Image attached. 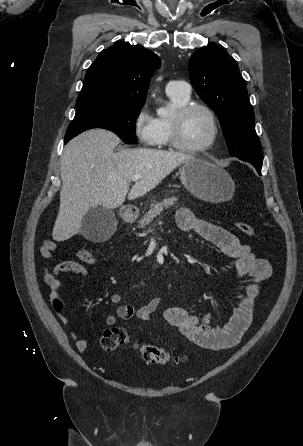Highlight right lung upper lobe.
Returning <instances> with one entry per match:
<instances>
[{
    "instance_id": "right-lung-upper-lobe-1",
    "label": "right lung upper lobe",
    "mask_w": 303,
    "mask_h": 446,
    "mask_svg": "<svg viewBox=\"0 0 303 446\" xmlns=\"http://www.w3.org/2000/svg\"><path fill=\"white\" fill-rule=\"evenodd\" d=\"M159 57L143 47L117 44L100 52L89 67L76 106L118 103L143 106Z\"/></svg>"
}]
</instances>
